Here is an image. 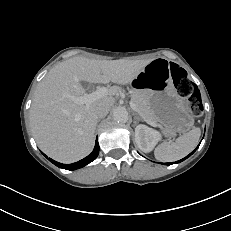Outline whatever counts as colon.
Masks as SVG:
<instances>
[{
    "label": "colon",
    "mask_w": 231,
    "mask_h": 231,
    "mask_svg": "<svg viewBox=\"0 0 231 231\" xmlns=\"http://www.w3.org/2000/svg\"><path fill=\"white\" fill-rule=\"evenodd\" d=\"M170 70L176 82L178 92L181 96L187 98V106L189 111L198 116L202 112L200 95L192 81L187 77V73L183 68L176 64H170Z\"/></svg>",
    "instance_id": "1"
}]
</instances>
